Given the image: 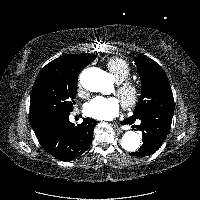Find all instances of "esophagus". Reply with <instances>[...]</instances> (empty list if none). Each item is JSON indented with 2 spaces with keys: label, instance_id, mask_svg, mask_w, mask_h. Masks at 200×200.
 I'll return each instance as SVG.
<instances>
[{
  "label": "esophagus",
  "instance_id": "obj_1",
  "mask_svg": "<svg viewBox=\"0 0 200 200\" xmlns=\"http://www.w3.org/2000/svg\"><path fill=\"white\" fill-rule=\"evenodd\" d=\"M113 128H114L115 132H117V133L122 132V130L118 126H114Z\"/></svg>",
  "mask_w": 200,
  "mask_h": 200
}]
</instances>
